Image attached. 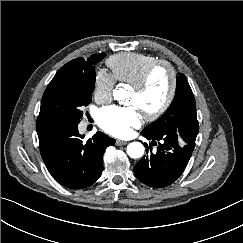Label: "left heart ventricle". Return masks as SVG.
<instances>
[{"label":"left heart ventricle","mask_w":243,"mask_h":243,"mask_svg":"<svg viewBox=\"0 0 243 243\" xmlns=\"http://www.w3.org/2000/svg\"><path fill=\"white\" fill-rule=\"evenodd\" d=\"M168 86L169 72L164 66H159L152 71L145 87L141 91L130 88L128 101L141 111H144L161 101L167 92Z\"/></svg>","instance_id":"b2bd125f"}]
</instances>
